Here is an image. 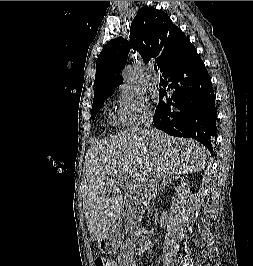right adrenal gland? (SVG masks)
<instances>
[{
  "instance_id": "2a0ac1e0",
  "label": "right adrenal gland",
  "mask_w": 253,
  "mask_h": 266,
  "mask_svg": "<svg viewBox=\"0 0 253 266\" xmlns=\"http://www.w3.org/2000/svg\"><path fill=\"white\" fill-rule=\"evenodd\" d=\"M168 182H169V184H172V177L171 176L163 177L161 179V184H160V187L158 188V191L163 192L165 190V187L168 184Z\"/></svg>"
}]
</instances>
